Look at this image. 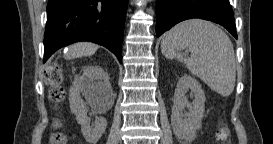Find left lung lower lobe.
I'll use <instances>...</instances> for the list:
<instances>
[{
  "mask_svg": "<svg viewBox=\"0 0 273 144\" xmlns=\"http://www.w3.org/2000/svg\"><path fill=\"white\" fill-rule=\"evenodd\" d=\"M156 18L157 37L183 20L200 18L222 25L237 38L229 0H157Z\"/></svg>",
  "mask_w": 273,
  "mask_h": 144,
  "instance_id": "left-lung-lower-lobe-1",
  "label": "left lung lower lobe"
}]
</instances>
